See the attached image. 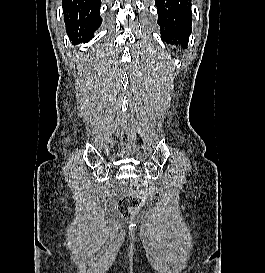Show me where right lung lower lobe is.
Here are the masks:
<instances>
[{"instance_id": "obj_1", "label": "right lung lower lobe", "mask_w": 265, "mask_h": 273, "mask_svg": "<svg viewBox=\"0 0 265 273\" xmlns=\"http://www.w3.org/2000/svg\"><path fill=\"white\" fill-rule=\"evenodd\" d=\"M101 0H62L64 22L73 44L88 42L100 26Z\"/></svg>"}]
</instances>
